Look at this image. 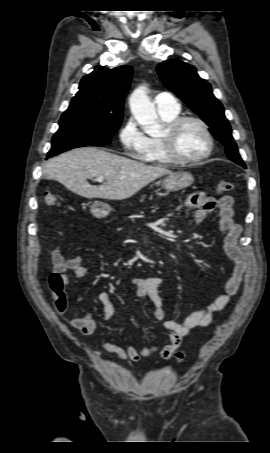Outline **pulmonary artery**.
Returning a JSON list of instances; mask_svg holds the SVG:
<instances>
[{
	"mask_svg": "<svg viewBox=\"0 0 270 453\" xmlns=\"http://www.w3.org/2000/svg\"><path fill=\"white\" fill-rule=\"evenodd\" d=\"M159 113H177L180 111V105L173 94L161 92L154 98Z\"/></svg>",
	"mask_w": 270,
	"mask_h": 453,
	"instance_id": "obj_1",
	"label": "pulmonary artery"
}]
</instances>
